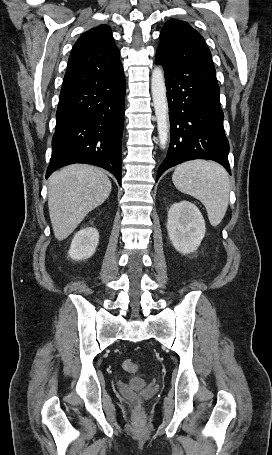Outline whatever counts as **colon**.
I'll use <instances>...</instances> for the list:
<instances>
[{"label": "colon", "mask_w": 272, "mask_h": 455, "mask_svg": "<svg viewBox=\"0 0 272 455\" xmlns=\"http://www.w3.org/2000/svg\"><path fill=\"white\" fill-rule=\"evenodd\" d=\"M122 367L125 371L130 372V373H135L137 372L139 366L138 364L130 359H127L123 362Z\"/></svg>", "instance_id": "colon-1"}]
</instances>
